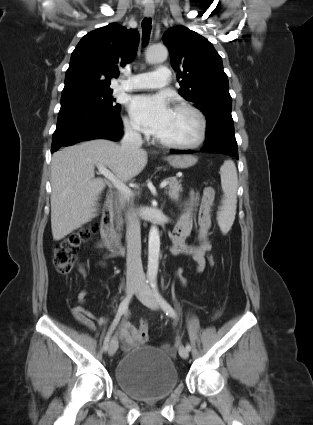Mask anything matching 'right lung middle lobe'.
<instances>
[{"mask_svg": "<svg viewBox=\"0 0 313 425\" xmlns=\"http://www.w3.org/2000/svg\"><path fill=\"white\" fill-rule=\"evenodd\" d=\"M112 90L110 88L104 89H82L63 93L61 100L77 99L83 100L98 106L107 108L109 110H120V105L115 103L112 97Z\"/></svg>", "mask_w": 313, "mask_h": 425, "instance_id": "right-lung-middle-lobe-1", "label": "right lung middle lobe"}]
</instances>
